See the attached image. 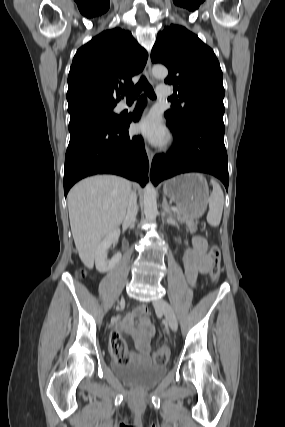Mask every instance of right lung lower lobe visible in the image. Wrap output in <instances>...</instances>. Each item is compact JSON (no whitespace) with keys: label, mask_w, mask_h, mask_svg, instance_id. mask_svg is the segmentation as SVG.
I'll use <instances>...</instances> for the list:
<instances>
[{"label":"right lung lower lobe","mask_w":285,"mask_h":427,"mask_svg":"<svg viewBox=\"0 0 285 427\" xmlns=\"http://www.w3.org/2000/svg\"><path fill=\"white\" fill-rule=\"evenodd\" d=\"M146 103L141 96L136 111L116 124L85 121L70 131L65 157L64 193L80 179L95 174H116L144 186L149 163L141 136L130 137V122L138 121Z\"/></svg>","instance_id":"98d812e1"}]
</instances>
